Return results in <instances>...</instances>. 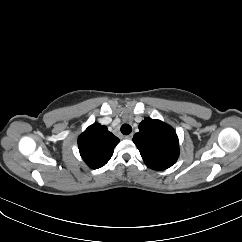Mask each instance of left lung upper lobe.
I'll list each match as a JSON object with an SVG mask.
<instances>
[{
  "mask_svg": "<svg viewBox=\"0 0 242 242\" xmlns=\"http://www.w3.org/2000/svg\"><path fill=\"white\" fill-rule=\"evenodd\" d=\"M133 142L145 164L154 170L171 167L179 156V142L172 127L160 120L145 118L139 124V132Z\"/></svg>",
  "mask_w": 242,
  "mask_h": 242,
  "instance_id": "obj_1",
  "label": "left lung upper lobe"
}]
</instances>
